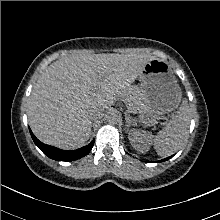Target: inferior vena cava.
<instances>
[{"mask_svg": "<svg viewBox=\"0 0 220 220\" xmlns=\"http://www.w3.org/2000/svg\"><path fill=\"white\" fill-rule=\"evenodd\" d=\"M103 116H104L103 109H94L90 114V118L92 121L100 120Z\"/></svg>", "mask_w": 220, "mask_h": 220, "instance_id": "602c4592", "label": "inferior vena cava"}]
</instances>
